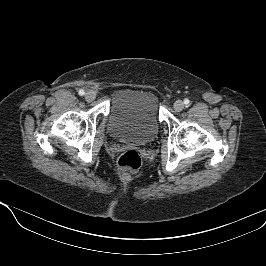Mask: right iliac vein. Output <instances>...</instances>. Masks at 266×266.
<instances>
[{
    "label": "right iliac vein",
    "instance_id": "right-iliac-vein-1",
    "mask_svg": "<svg viewBox=\"0 0 266 266\" xmlns=\"http://www.w3.org/2000/svg\"><path fill=\"white\" fill-rule=\"evenodd\" d=\"M85 99L87 102H92L95 99V94L93 92H87L85 94Z\"/></svg>",
    "mask_w": 266,
    "mask_h": 266
}]
</instances>
